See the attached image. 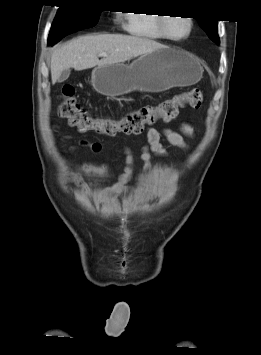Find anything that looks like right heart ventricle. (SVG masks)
<instances>
[{
    "label": "right heart ventricle",
    "instance_id": "right-heart-ventricle-1",
    "mask_svg": "<svg viewBox=\"0 0 261 355\" xmlns=\"http://www.w3.org/2000/svg\"><path fill=\"white\" fill-rule=\"evenodd\" d=\"M160 16L152 14L131 12L127 14V30L130 34L138 37L153 39V40H165L160 29Z\"/></svg>",
    "mask_w": 261,
    "mask_h": 355
}]
</instances>
